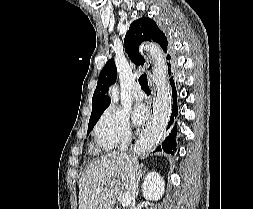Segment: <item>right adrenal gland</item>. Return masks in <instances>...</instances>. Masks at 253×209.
<instances>
[{
    "instance_id": "1",
    "label": "right adrenal gland",
    "mask_w": 253,
    "mask_h": 209,
    "mask_svg": "<svg viewBox=\"0 0 253 209\" xmlns=\"http://www.w3.org/2000/svg\"><path fill=\"white\" fill-rule=\"evenodd\" d=\"M148 169L147 168H144V170H139L137 173H136V176H137V194L136 196H138L139 194V181H140V178L145 174V172L147 171Z\"/></svg>"
}]
</instances>
